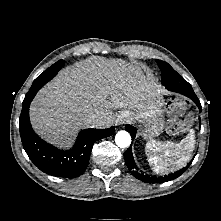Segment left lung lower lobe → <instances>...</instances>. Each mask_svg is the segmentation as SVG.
Returning a JSON list of instances; mask_svg holds the SVG:
<instances>
[{"mask_svg":"<svg viewBox=\"0 0 221 221\" xmlns=\"http://www.w3.org/2000/svg\"><path fill=\"white\" fill-rule=\"evenodd\" d=\"M164 86L169 91L183 94L187 96L188 98H190L191 100H193L198 106L199 111L201 112L202 107H201L199 99L195 95L191 85L187 81H185L183 78L173 84H167ZM125 129L131 133L132 139H134L136 135V129L130 125H127ZM124 159L132 175L136 177L137 179L143 182H148V183H160V182H167V181L173 180L179 177L191 164L189 163L186 167L175 172L174 174H169L168 176H164V177H155V176L144 175L138 172V168L135 164V161L132 155L131 146L124 153Z\"/></svg>","mask_w":221,"mask_h":221,"instance_id":"obj_1","label":"left lung lower lobe"}]
</instances>
